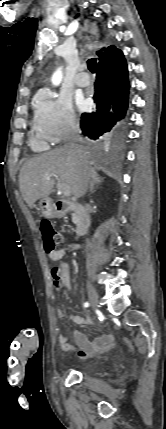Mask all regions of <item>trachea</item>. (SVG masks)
<instances>
[{"label": "trachea", "mask_w": 166, "mask_h": 429, "mask_svg": "<svg viewBox=\"0 0 166 429\" xmlns=\"http://www.w3.org/2000/svg\"><path fill=\"white\" fill-rule=\"evenodd\" d=\"M96 58H91V59H89L88 61H87V65H88V69L91 71V72H95L96 71V68H97V66H96Z\"/></svg>", "instance_id": "trachea-1"}]
</instances>
